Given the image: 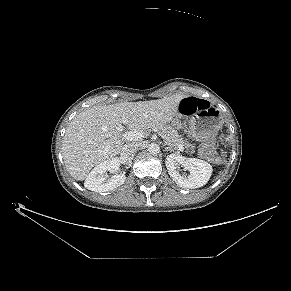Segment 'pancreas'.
I'll use <instances>...</instances> for the list:
<instances>
[{"label": "pancreas", "mask_w": 291, "mask_h": 291, "mask_svg": "<svg viewBox=\"0 0 291 291\" xmlns=\"http://www.w3.org/2000/svg\"><path fill=\"white\" fill-rule=\"evenodd\" d=\"M154 131L160 135L165 143L169 145L174 150H178V146L182 145L185 147L190 153L195 152L194 144L189 143L188 141L184 140L181 135L178 134V131L169 126V125H157L152 128Z\"/></svg>", "instance_id": "obj_1"}]
</instances>
